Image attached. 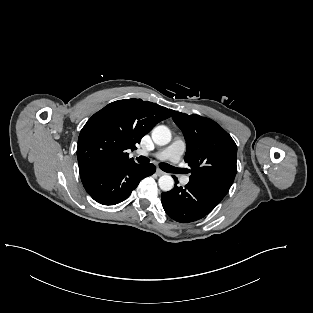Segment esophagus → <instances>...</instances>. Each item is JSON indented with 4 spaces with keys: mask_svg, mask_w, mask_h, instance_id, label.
Returning <instances> with one entry per match:
<instances>
[{
    "mask_svg": "<svg viewBox=\"0 0 313 313\" xmlns=\"http://www.w3.org/2000/svg\"><path fill=\"white\" fill-rule=\"evenodd\" d=\"M156 174H157L158 176H161V175H164L165 172H163V171L160 170V169H157V170H156Z\"/></svg>",
    "mask_w": 313,
    "mask_h": 313,
    "instance_id": "esophagus-1",
    "label": "esophagus"
}]
</instances>
